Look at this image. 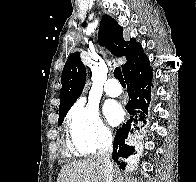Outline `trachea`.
Wrapping results in <instances>:
<instances>
[{"mask_svg": "<svg viewBox=\"0 0 196 182\" xmlns=\"http://www.w3.org/2000/svg\"><path fill=\"white\" fill-rule=\"evenodd\" d=\"M114 76H115L116 79L119 80L121 85H125V81H124V78H123V75H122V71H121V69L119 67L115 68Z\"/></svg>", "mask_w": 196, "mask_h": 182, "instance_id": "3493384b", "label": "trachea"}]
</instances>
